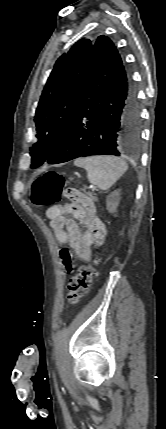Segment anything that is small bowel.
Returning <instances> with one entry per match:
<instances>
[{
  "instance_id": "small-bowel-1",
  "label": "small bowel",
  "mask_w": 166,
  "mask_h": 429,
  "mask_svg": "<svg viewBox=\"0 0 166 429\" xmlns=\"http://www.w3.org/2000/svg\"><path fill=\"white\" fill-rule=\"evenodd\" d=\"M46 216L54 232L56 241L60 244L69 243L76 255L88 260L91 256V246L101 245L106 235V227L96 215L95 206L92 203L80 205L77 203H65L55 205L47 209ZM75 218L85 227L81 231ZM59 257L66 272L73 270V255L66 248L59 249Z\"/></svg>"
}]
</instances>
